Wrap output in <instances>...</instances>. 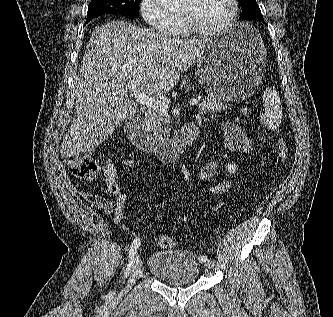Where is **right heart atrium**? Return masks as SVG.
Segmentation results:
<instances>
[{
    "instance_id": "d8ad5b80",
    "label": "right heart atrium",
    "mask_w": 333,
    "mask_h": 317,
    "mask_svg": "<svg viewBox=\"0 0 333 317\" xmlns=\"http://www.w3.org/2000/svg\"><path fill=\"white\" fill-rule=\"evenodd\" d=\"M139 11L146 24L164 34H175L178 17L165 10L158 0H140Z\"/></svg>"
}]
</instances>
